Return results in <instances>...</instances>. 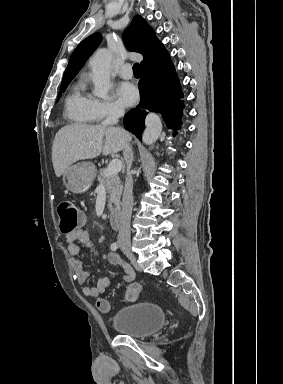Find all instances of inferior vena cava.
Here are the masks:
<instances>
[{"label": "inferior vena cava", "mask_w": 283, "mask_h": 384, "mask_svg": "<svg viewBox=\"0 0 283 384\" xmlns=\"http://www.w3.org/2000/svg\"><path fill=\"white\" fill-rule=\"evenodd\" d=\"M124 116V108L123 106H119V104H110L107 112V118L104 120V126H113V124H118L119 118ZM121 132H123L126 140V144L123 148V156L125 158V162L127 164L128 170H130L133 162V154L132 148L129 144L131 138L125 130L120 128ZM132 208H133V178L131 174H127V178L125 180V188L123 192L122 198V212H121V220H120V230L118 236V246L119 248H130V222L132 216Z\"/></svg>", "instance_id": "1"}]
</instances>
